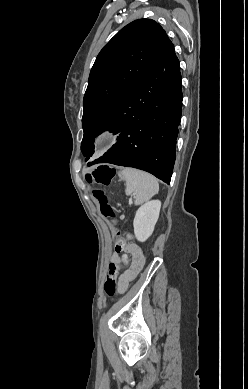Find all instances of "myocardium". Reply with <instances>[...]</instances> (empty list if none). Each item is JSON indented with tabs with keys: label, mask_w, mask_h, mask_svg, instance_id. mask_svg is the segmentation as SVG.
Listing matches in <instances>:
<instances>
[{
	"label": "myocardium",
	"mask_w": 248,
	"mask_h": 389,
	"mask_svg": "<svg viewBox=\"0 0 248 389\" xmlns=\"http://www.w3.org/2000/svg\"><path fill=\"white\" fill-rule=\"evenodd\" d=\"M114 137L115 135L112 129L104 128L99 132L96 142L99 145H105L110 143L114 139Z\"/></svg>",
	"instance_id": "obj_1"
}]
</instances>
